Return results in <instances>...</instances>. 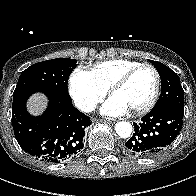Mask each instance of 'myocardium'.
Listing matches in <instances>:
<instances>
[{"label":"myocardium","instance_id":"myocardium-1","mask_svg":"<svg viewBox=\"0 0 196 196\" xmlns=\"http://www.w3.org/2000/svg\"><path fill=\"white\" fill-rule=\"evenodd\" d=\"M145 68L153 71L155 75V88H154V92L151 98L146 104L131 111V113L134 115L144 114L148 112L149 110H151L159 98V94L161 90V75L159 71L157 70V68L151 64H140L130 69L126 73H124L109 88V94L110 96H113V94L119 89H121L122 87H124L137 72Z\"/></svg>","mask_w":196,"mask_h":196}]
</instances>
